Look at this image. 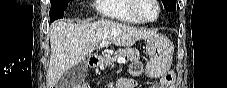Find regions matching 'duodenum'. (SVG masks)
<instances>
[{"label": "duodenum", "mask_w": 227, "mask_h": 88, "mask_svg": "<svg viewBox=\"0 0 227 88\" xmlns=\"http://www.w3.org/2000/svg\"><path fill=\"white\" fill-rule=\"evenodd\" d=\"M98 64V59L96 58H91L88 60V66L93 68V67H96Z\"/></svg>", "instance_id": "duodenum-1"}]
</instances>
